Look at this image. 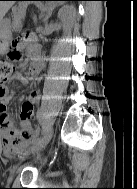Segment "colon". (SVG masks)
<instances>
[{"mask_svg": "<svg viewBox=\"0 0 137 189\" xmlns=\"http://www.w3.org/2000/svg\"><path fill=\"white\" fill-rule=\"evenodd\" d=\"M22 40L23 39H20L13 43V49L6 58H0V86H3L12 76L13 62L20 58L16 45ZM21 134H23V132H21Z\"/></svg>", "mask_w": 137, "mask_h": 189, "instance_id": "colon-1", "label": "colon"}]
</instances>
